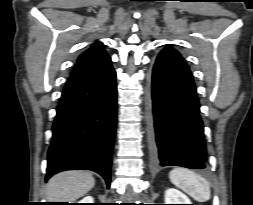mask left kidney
Listing matches in <instances>:
<instances>
[{"mask_svg": "<svg viewBox=\"0 0 253 205\" xmlns=\"http://www.w3.org/2000/svg\"><path fill=\"white\" fill-rule=\"evenodd\" d=\"M165 204H192L190 199L177 189L169 188L165 191Z\"/></svg>", "mask_w": 253, "mask_h": 205, "instance_id": "5707ae66", "label": "left kidney"}]
</instances>
